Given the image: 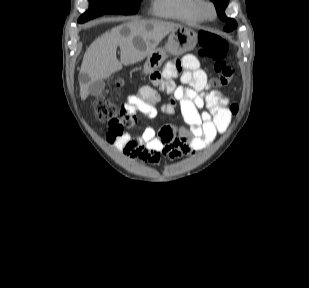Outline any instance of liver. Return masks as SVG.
<instances>
[{
	"label": "liver",
	"mask_w": 309,
	"mask_h": 288,
	"mask_svg": "<svg viewBox=\"0 0 309 288\" xmlns=\"http://www.w3.org/2000/svg\"><path fill=\"white\" fill-rule=\"evenodd\" d=\"M180 25L160 20L132 19L112 28L97 38L86 50L80 74L86 78L80 83V96L85 100L91 83L110 77L120 71L123 65H131L151 55L158 43ZM135 38H141L144 48L134 44ZM120 47V61L116 51Z\"/></svg>",
	"instance_id": "liver-1"
}]
</instances>
